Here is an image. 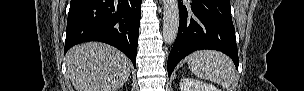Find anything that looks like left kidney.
I'll return each mask as SVG.
<instances>
[{"label":"left kidney","instance_id":"1","mask_svg":"<svg viewBox=\"0 0 304 91\" xmlns=\"http://www.w3.org/2000/svg\"><path fill=\"white\" fill-rule=\"evenodd\" d=\"M181 91H220L211 84H206L193 78H183L180 80Z\"/></svg>","mask_w":304,"mask_h":91}]
</instances>
